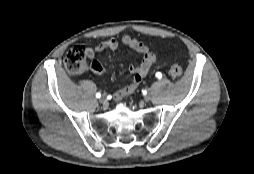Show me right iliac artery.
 I'll return each instance as SVG.
<instances>
[{"label": "right iliac artery", "mask_w": 254, "mask_h": 174, "mask_svg": "<svg viewBox=\"0 0 254 174\" xmlns=\"http://www.w3.org/2000/svg\"><path fill=\"white\" fill-rule=\"evenodd\" d=\"M96 97H97V98H100V97H101V94H100V93H96Z\"/></svg>", "instance_id": "obj_1"}]
</instances>
